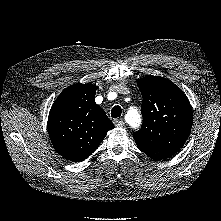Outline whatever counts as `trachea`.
Masks as SVG:
<instances>
[{
  "mask_svg": "<svg viewBox=\"0 0 221 221\" xmlns=\"http://www.w3.org/2000/svg\"><path fill=\"white\" fill-rule=\"evenodd\" d=\"M122 109L120 106H114L111 110V117L112 118H118L121 116Z\"/></svg>",
  "mask_w": 221,
  "mask_h": 221,
  "instance_id": "trachea-1",
  "label": "trachea"
}]
</instances>
